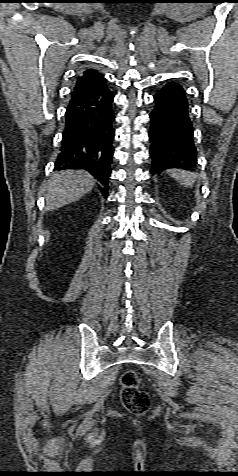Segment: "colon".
Segmentation results:
<instances>
[{
	"mask_svg": "<svg viewBox=\"0 0 238 476\" xmlns=\"http://www.w3.org/2000/svg\"><path fill=\"white\" fill-rule=\"evenodd\" d=\"M121 401L134 415L145 413L150 406L149 395L140 389V380L135 370H126L121 376Z\"/></svg>",
	"mask_w": 238,
	"mask_h": 476,
	"instance_id": "obj_1",
	"label": "colon"
}]
</instances>
